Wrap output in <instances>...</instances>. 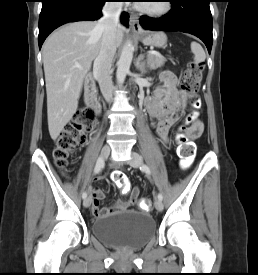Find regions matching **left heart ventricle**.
Segmentation results:
<instances>
[{"label": "left heart ventricle", "mask_w": 258, "mask_h": 275, "mask_svg": "<svg viewBox=\"0 0 258 275\" xmlns=\"http://www.w3.org/2000/svg\"><path fill=\"white\" fill-rule=\"evenodd\" d=\"M145 2H149V3H141L139 5L145 8L153 9V10L159 9L163 5V1H145Z\"/></svg>", "instance_id": "1"}]
</instances>
